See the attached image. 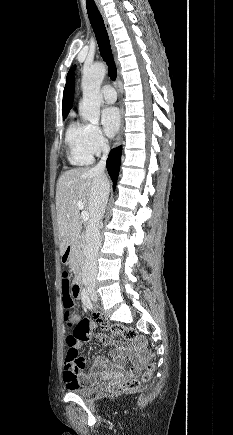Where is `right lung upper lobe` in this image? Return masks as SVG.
<instances>
[{
	"instance_id": "obj_1",
	"label": "right lung upper lobe",
	"mask_w": 233,
	"mask_h": 435,
	"mask_svg": "<svg viewBox=\"0 0 233 435\" xmlns=\"http://www.w3.org/2000/svg\"><path fill=\"white\" fill-rule=\"evenodd\" d=\"M74 97V76L73 72L70 71L67 74L66 85L63 93V102H62V112L63 115H68L73 102Z\"/></svg>"
}]
</instances>
